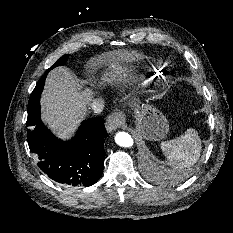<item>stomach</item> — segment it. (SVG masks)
<instances>
[{
    "instance_id": "obj_1",
    "label": "stomach",
    "mask_w": 233,
    "mask_h": 233,
    "mask_svg": "<svg viewBox=\"0 0 233 233\" xmlns=\"http://www.w3.org/2000/svg\"><path fill=\"white\" fill-rule=\"evenodd\" d=\"M136 125L139 136L150 141L163 139L169 131L165 116L157 108L147 104L137 112Z\"/></svg>"
}]
</instances>
